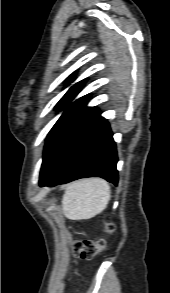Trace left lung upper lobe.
Here are the masks:
<instances>
[{"mask_svg": "<svg viewBox=\"0 0 170 293\" xmlns=\"http://www.w3.org/2000/svg\"><path fill=\"white\" fill-rule=\"evenodd\" d=\"M84 82L85 80L72 86L56 106L59 110L64 108L65 110L48 134L44 147L40 175L46 172L73 136L98 111L96 107H86L90 94L83 96L70 104L75 95L81 90Z\"/></svg>", "mask_w": 170, "mask_h": 293, "instance_id": "5c2ea615", "label": "left lung upper lobe"}]
</instances>
